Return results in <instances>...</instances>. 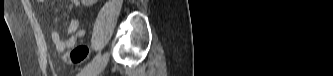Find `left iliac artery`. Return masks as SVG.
<instances>
[{
    "label": "left iliac artery",
    "mask_w": 333,
    "mask_h": 76,
    "mask_svg": "<svg viewBox=\"0 0 333 76\" xmlns=\"http://www.w3.org/2000/svg\"><path fill=\"white\" fill-rule=\"evenodd\" d=\"M101 57V53L99 52L94 58L93 60L88 63L87 65H85V67L81 70V72L87 70L88 68H90L95 62H97Z\"/></svg>",
    "instance_id": "44dca946"
}]
</instances>
